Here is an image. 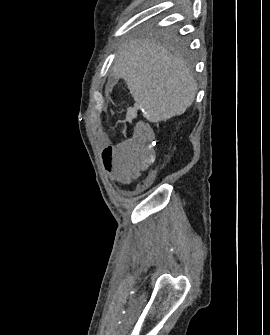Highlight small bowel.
<instances>
[{
	"label": "small bowel",
	"mask_w": 270,
	"mask_h": 335,
	"mask_svg": "<svg viewBox=\"0 0 270 335\" xmlns=\"http://www.w3.org/2000/svg\"><path fill=\"white\" fill-rule=\"evenodd\" d=\"M125 134H137L134 138L122 137L124 144H97L96 161H103L104 173H114V178H136L139 169L151 165V158L159 156V149H153L155 138L151 128L144 121H127Z\"/></svg>",
	"instance_id": "c3829d8e"
}]
</instances>
